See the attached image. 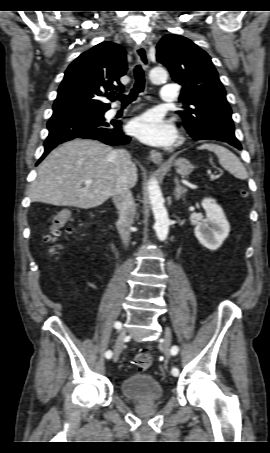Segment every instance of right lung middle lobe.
<instances>
[{"instance_id": "obj_1", "label": "right lung middle lobe", "mask_w": 270, "mask_h": 453, "mask_svg": "<svg viewBox=\"0 0 270 453\" xmlns=\"http://www.w3.org/2000/svg\"><path fill=\"white\" fill-rule=\"evenodd\" d=\"M105 111L106 110H89V111H83V112H80V113L89 115L91 117H94V118H97V119H100V120H105L104 116H103Z\"/></svg>"}]
</instances>
